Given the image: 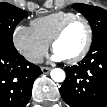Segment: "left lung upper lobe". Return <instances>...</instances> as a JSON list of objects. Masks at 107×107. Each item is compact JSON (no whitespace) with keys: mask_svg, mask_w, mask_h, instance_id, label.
Returning a JSON list of instances; mask_svg holds the SVG:
<instances>
[{"mask_svg":"<svg viewBox=\"0 0 107 107\" xmlns=\"http://www.w3.org/2000/svg\"><path fill=\"white\" fill-rule=\"evenodd\" d=\"M72 7L78 10L84 15V17L89 21L92 31H93V41L107 37V11L83 3H75Z\"/></svg>","mask_w":107,"mask_h":107,"instance_id":"left-lung-upper-lobe-1","label":"left lung upper lobe"}]
</instances>
